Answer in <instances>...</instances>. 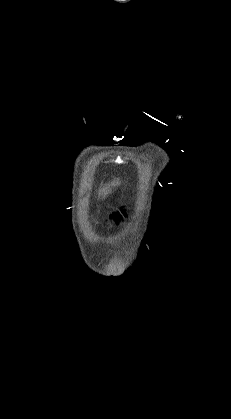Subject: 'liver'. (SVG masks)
Returning a JSON list of instances; mask_svg holds the SVG:
<instances>
[{"label": "liver", "mask_w": 231, "mask_h": 419, "mask_svg": "<svg viewBox=\"0 0 231 419\" xmlns=\"http://www.w3.org/2000/svg\"><path fill=\"white\" fill-rule=\"evenodd\" d=\"M120 183L117 181L112 182V186L119 185ZM100 192L105 196L111 192L110 185L106 186L105 188L101 189Z\"/></svg>", "instance_id": "6515ba94"}]
</instances>
